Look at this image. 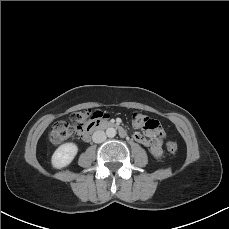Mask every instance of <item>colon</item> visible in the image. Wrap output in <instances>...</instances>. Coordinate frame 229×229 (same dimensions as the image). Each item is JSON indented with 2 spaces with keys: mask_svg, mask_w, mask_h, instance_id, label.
Returning a JSON list of instances; mask_svg holds the SVG:
<instances>
[{
  "mask_svg": "<svg viewBox=\"0 0 229 229\" xmlns=\"http://www.w3.org/2000/svg\"><path fill=\"white\" fill-rule=\"evenodd\" d=\"M106 114L102 112H94L92 110H82L71 115L70 122H58L52 126L49 140L52 144L58 145L69 138H74L82 134L89 126V121L98 117H105ZM132 122L135 127L151 130L154 132L160 131L161 126L158 121L147 117L141 113L132 114ZM167 150L174 155L178 151L176 142L169 141L167 143Z\"/></svg>",
  "mask_w": 229,
  "mask_h": 229,
  "instance_id": "1",
  "label": "colon"
}]
</instances>
